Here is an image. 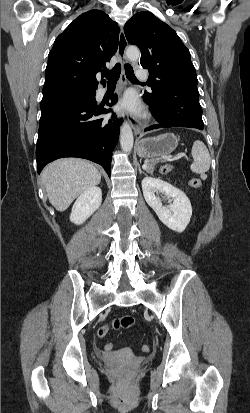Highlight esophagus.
<instances>
[{"label": "esophagus", "mask_w": 250, "mask_h": 413, "mask_svg": "<svg viewBox=\"0 0 250 413\" xmlns=\"http://www.w3.org/2000/svg\"><path fill=\"white\" fill-rule=\"evenodd\" d=\"M128 42L127 39L125 37L123 28H121V32L119 35V45H118V56H119V60H120V64L122 67V76H121V84L123 86L126 85V80H125V75H124V66L127 63V58H126V48H127ZM122 115H119V117H121ZM128 121L130 123V125L132 126L133 130L135 131V133L137 134H142V128L138 122V120L133 117V116H129Z\"/></svg>", "instance_id": "1"}]
</instances>
